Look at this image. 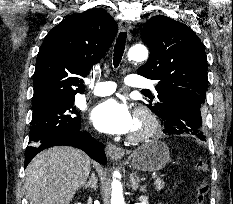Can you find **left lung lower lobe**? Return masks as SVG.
<instances>
[{"instance_id":"left-lung-lower-lobe-1","label":"left lung lower lobe","mask_w":233,"mask_h":204,"mask_svg":"<svg viewBox=\"0 0 233 204\" xmlns=\"http://www.w3.org/2000/svg\"><path fill=\"white\" fill-rule=\"evenodd\" d=\"M204 102L205 94L183 92L169 98L163 103L162 112L156 113L164 125L163 132L168 135L192 134L205 141L201 130V107Z\"/></svg>"}]
</instances>
